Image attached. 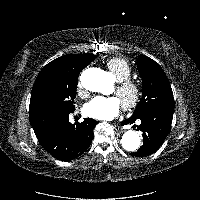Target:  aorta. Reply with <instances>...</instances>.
I'll list each match as a JSON object with an SVG mask.
<instances>
[{"label":"aorta","mask_w":200,"mask_h":200,"mask_svg":"<svg viewBox=\"0 0 200 200\" xmlns=\"http://www.w3.org/2000/svg\"><path fill=\"white\" fill-rule=\"evenodd\" d=\"M81 83L84 88L92 92L106 93L110 86L108 74L97 68H90L81 75ZM141 143L140 136L135 131H127L121 139L122 147L129 152L136 151Z\"/></svg>","instance_id":"762f6f07"}]
</instances>
